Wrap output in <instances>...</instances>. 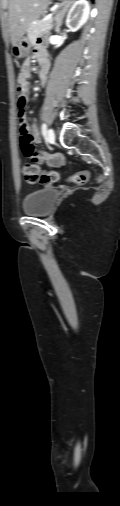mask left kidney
Wrapping results in <instances>:
<instances>
[{
    "label": "left kidney",
    "instance_id": "left-kidney-1",
    "mask_svg": "<svg viewBox=\"0 0 120 506\" xmlns=\"http://www.w3.org/2000/svg\"><path fill=\"white\" fill-rule=\"evenodd\" d=\"M90 5L86 0L74 2L68 12L66 26L73 32L79 30L88 20Z\"/></svg>",
    "mask_w": 120,
    "mask_h": 506
}]
</instances>
